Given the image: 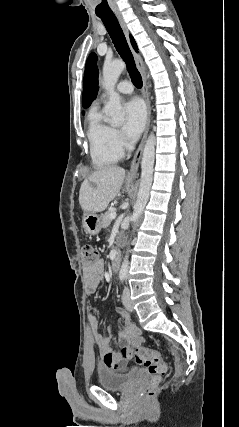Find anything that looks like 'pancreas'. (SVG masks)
I'll return each instance as SVG.
<instances>
[{"label":"pancreas","instance_id":"1","mask_svg":"<svg viewBox=\"0 0 239 427\" xmlns=\"http://www.w3.org/2000/svg\"><path fill=\"white\" fill-rule=\"evenodd\" d=\"M110 212H105V214L102 215V226L103 227H108L111 223V219H110Z\"/></svg>","mask_w":239,"mask_h":427}]
</instances>
